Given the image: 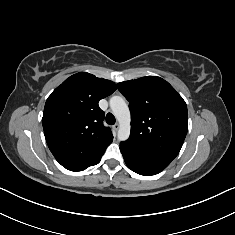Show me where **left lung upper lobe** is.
<instances>
[{
  "instance_id": "left-lung-upper-lobe-1",
  "label": "left lung upper lobe",
  "mask_w": 235,
  "mask_h": 235,
  "mask_svg": "<svg viewBox=\"0 0 235 235\" xmlns=\"http://www.w3.org/2000/svg\"><path fill=\"white\" fill-rule=\"evenodd\" d=\"M117 87L129 101L131 111V133L125 143L171 163L188 130V112L183 98L157 76L121 82Z\"/></svg>"
}]
</instances>
